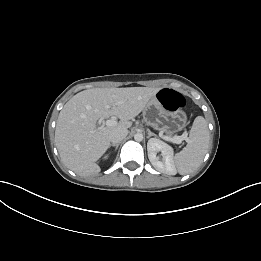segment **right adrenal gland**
Instances as JSON below:
<instances>
[{"instance_id": "right-adrenal-gland-1", "label": "right adrenal gland", "mask_w": 261, "mask_h": 261, "mask_svg": "<svg viewBox=\"0 0 261 261\" xmlns=\"http://www.w3.org/2000/svg\"><path fill=\"white\" fill-rule=\"evenodd\" d=\"M110 147H115V151H116L119 147V144H110Z\"/></svg>"}]
</instances>
